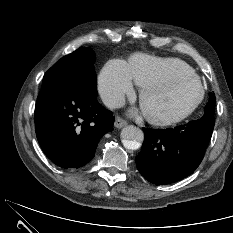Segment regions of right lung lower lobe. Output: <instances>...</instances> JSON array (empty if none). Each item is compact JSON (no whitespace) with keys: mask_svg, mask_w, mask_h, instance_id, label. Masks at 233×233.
Returning a JSON list of instances; mask_svg holds the SVG:
<instances>
[{"mask_svg":"<svg viewBox=\"0 0 233 233\" xmlns=\"http://www.w3.org/2000/svg\"><path fill=\"white\" fill-rule=\"evenodd\" d=\"M88 83L43 80L35 107L38 142L48 158L62 168H79L95 155L100 138L112 131V112L96 100Z\"/></svg>","mask_w":233,"mask_h":233,"instance_id":"obj_1","label":"right lung lower lobe"}]
</instances>
